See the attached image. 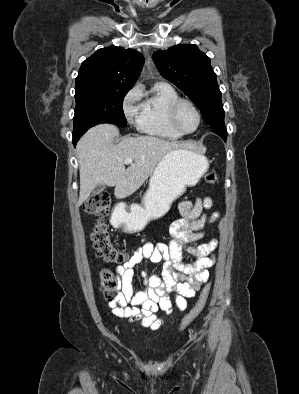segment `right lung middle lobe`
<instances>
[{
	"instance_id": "obj_1",
	"label": "right lung middle lobe",
	"mask_w": 299,
	"mask_h": 394,
	"mask_svg": "<svg viewBox=\"0 0 299 394\" xmlns=\"http://www.w3.org/2000/svg\"><path fill=\"white\" fill-rule=\"evenodd\" d=\"M129 90L95 87L75 89L74 130H88L100 123L126 127L122 105Z\"/></svg>"
}]
</instances>
